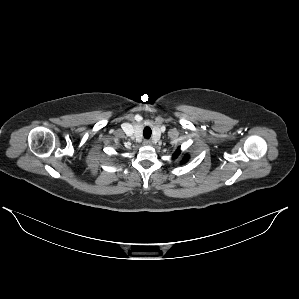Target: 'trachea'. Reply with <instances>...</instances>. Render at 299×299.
<instances>
[{
	"mask_svg": "<svg viewBox=\"0 0 299 299\" xmlns=\"http://www.w3.org/2000/svg\"><path fill=\"white\" fill-rule=\"evenodd\" d=\"M151 133H152L151 128L146 126L143 130L144 138L149 139L151 137Z\"/></svg>",
	"mask_w": 299,
	"mask_h": 299,
	"instance_id": "trachea-1",
	"label": "trachea"
}]
</instances>
